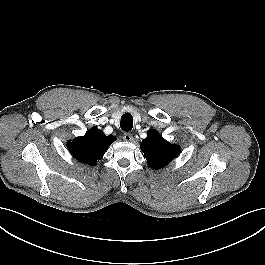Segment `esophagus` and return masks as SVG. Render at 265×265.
Segmentation results:
<instances>
[{
    "mask_svg": "<svg viewBox=\"0 0 265 265\" xmlns=\"http://www.w3.org/2000/svg\"><path fill=\"white\" fill-rule=\"evenodd\" d=\"M123 139L126 142H132L133 141V135L131 133H125L123 135Z\"/></svg>",
    "mask_w": 265,
    "mask_h": 265,
    "instance_id": "esophagus-1",
    "label": "esophagus"
}]
</instances>
